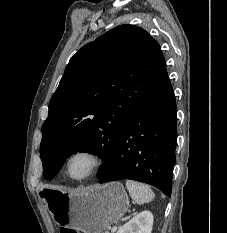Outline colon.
<instances>
[{
	"label": "colon",
	"mask_w": 227,
	"mask_h": 233,
	"mask_svg": "<svg viewBox=\"0 0 227 233\" xmlns=\"http://www.w3.org/2000/svg\"><path fill=\"white\" fill-rule=\"evenodd\" d=\"M60 233H79V232L71 228H61Z\"/></svg>",
	"instance_id": "5ec220e1"
}]
</instances>
